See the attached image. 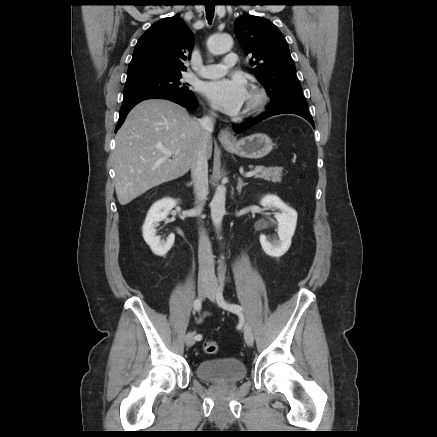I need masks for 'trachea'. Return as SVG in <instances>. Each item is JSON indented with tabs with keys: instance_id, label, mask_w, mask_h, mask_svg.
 Listing matches in <instances>:
<instances>
[{
	"instance_id": "3493384b",
	"label": "trachea",
	"mask_w": 437,
	"mask_h": 437,
	"mask_svg": "<svg viewBox=\"0 0 437 437\" xmlns=\"http://www.w3.org/2000/svg\"><path fill=\"white\" fill-rule=\"evenodd\" d=\"M205 9H206V18H207L208 22H211L213 17H214L215 6L214 5H206Z\"/></svg>"
}]
</instances>
